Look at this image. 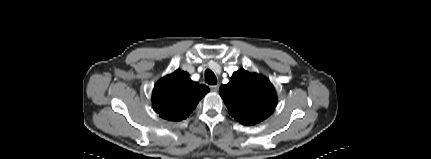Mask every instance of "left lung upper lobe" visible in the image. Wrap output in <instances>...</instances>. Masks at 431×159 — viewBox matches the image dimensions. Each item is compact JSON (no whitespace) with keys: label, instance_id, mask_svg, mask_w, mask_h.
<instances>
[{"label":"left lung upper lobe","instance_id":"1","mask_svg":"<svg viewBox=\"0 0 431 159\" xmlns=\"http://www.w3.org/2000/svg\"><path fill=\"white\" fill-rule=\"evenodd\" d=\"M227 85L220 87L228 112L244 125L263 121L273 112L277 98L268 79L244 69L235 72Z\"/></svg>","mask_w":431,"mask_h":159}]
</instances>
